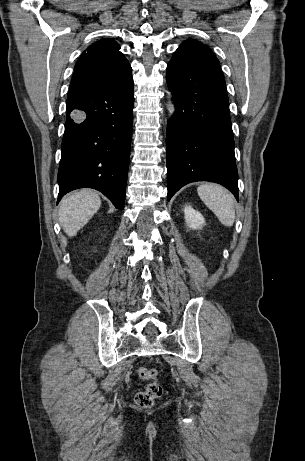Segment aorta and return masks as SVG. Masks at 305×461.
Instances as JSON below:
<instances>
[{"mask_svg": "<svg viewBox=\"0 0 305 461\" xmlns=\"http://www.w3.org/2000/svg\"><path fill=\"white\" fill-rule=\"evenodd\" d=\"M171 93H169V102H168V110H169V113L172 115L175 111V107H174V104H173V101L171 100Z\"/></svg>", "mask_w": 305, "mask_h": 461, "instance_id": "obj_1", "label": "aorta"}]
</instances>
